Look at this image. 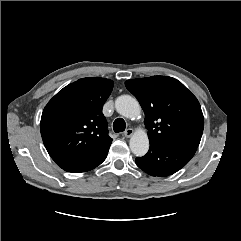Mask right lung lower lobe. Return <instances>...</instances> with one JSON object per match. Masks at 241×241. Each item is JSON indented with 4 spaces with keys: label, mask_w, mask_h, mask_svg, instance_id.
Returning a JSON list of instances; mask_svg holds the SVG:
<instances>
[{
    "label": "right lung lower lobe",
    "mask_w": 241,
    "mask_h": 241,
    "mask_svg": "<svg viewBox=\"0 0 241 241\" xmlns=\"http://www.w3.org/2000/svg\"><path fill=\"white\" fill-rule=\"evenodd\" d=\"M110 145L104 147L103 149L89 157L64 163L60 167L67 172L73 173L89 171L100 165L105 160Z\"/></svg>",
    "instance_id": "98d812e1"
}]
</instances>
